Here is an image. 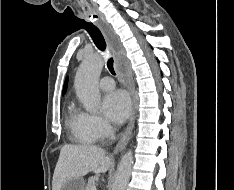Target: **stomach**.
<instances>
[{
  "mask_svg": "<svg viewBox=\"0 0 234 190\" xmlns=\"http://www.w3.org/2000/svg\"><path fill=\"white\" fill-rule=\"evenodd\" d=\"M61 190H85V181L82 177H72L64 183Z\"/></svg>",
  "mask_w": 234,
  "mask_h": 190,
  "instance_id": "1",
  "label": "stomach"
}]
</instances>
